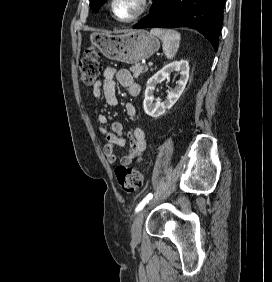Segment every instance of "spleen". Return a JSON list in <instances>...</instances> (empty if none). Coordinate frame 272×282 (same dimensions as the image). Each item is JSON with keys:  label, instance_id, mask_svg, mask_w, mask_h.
<instances>
[{"label": "spleen", "instance_id": "3e777b00", "mask_svg": "<svg viewBox=\"0 0 272 282\" xmlns=\"http://www.w3.org/2000/svg\"><path fill=\"white\" fill-rule=\"evenodd\" d=\"M150 33L153 36L160 38L163 42L162 48L165 56L168 59L175 57L181 40V35L172 29L152 28Z\"/></svg>", "mask_w": 272, "mask_h": 282}]
</instances>
